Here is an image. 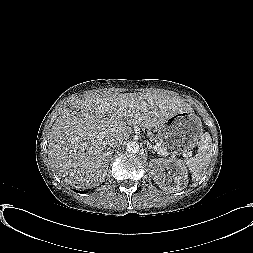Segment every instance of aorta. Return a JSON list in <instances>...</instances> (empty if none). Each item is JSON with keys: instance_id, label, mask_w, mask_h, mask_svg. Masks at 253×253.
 <instances>
[{"instance_id": "aorta-1", "label": "aorta", "mask_w": 253, "mask_h": 253, "mask_svg": "<svg viewBox=\"0 0 253 253\" xmlns=\"http://www.w3.org/2000/svg\"><path fill=\"white\" fill-rule=\"evenodd\" d=\"M140 150V146L137 142H130L127 144L126 151L131 154H136Z\"/></svg>"}]
</instances>
